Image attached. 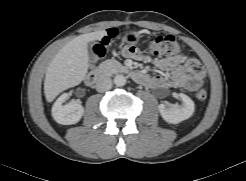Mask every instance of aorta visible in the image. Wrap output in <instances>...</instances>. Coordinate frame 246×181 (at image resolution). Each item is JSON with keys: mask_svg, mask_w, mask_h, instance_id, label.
<instances>
[{"mask_svg": "<svg viewBox=\"0 0 246 181\" xmlns=\"http://www.w3.org/2000/svg\"><path fill=\"white\" fill-rule=\"evenodd\" d=\"M114 83L118 87H122L126 84V78L122 74L116 75L114 77Z\"/></svg>", "mask_w": 246, "mask_h": 181, "instance_id": "1", "label": "aorta"}]
</instances>
